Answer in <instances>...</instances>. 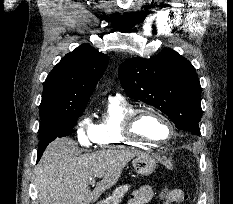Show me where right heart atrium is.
Segmentation results:
<instances>
[{
  "instance_id": "obj_1",
  "label": "right heart atrium",
  "mask_w": 233,
  "mask_h": 204,
  "mask_svg": "<svg viewBox=\"0 0 233 204\" xmlns=\"http://www.w3.org/2000/svg\"><path fill=\"white\" fill-rule=\"evenodd\" d=\"M76 138L80 145L90 147L95 141V127L86 113H83L76 123Z\"/></svg>"
}]
</instances>
